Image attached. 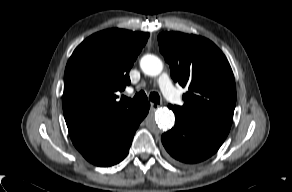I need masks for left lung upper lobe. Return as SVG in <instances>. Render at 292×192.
Here are the masks:
<instances>
[{
    "label": "left lung upper lobe",
    "instance_id": "5c2ea615",
    "mask_svg": "<svg viewBox=\"0 0 292 192\" xmlns=\"http://www.w3.org/2000/svg\"><path fill=\"white\" fill-rule=\"evenodd\" d=\"M158 43L174 81L188 87L183 106L169 105L176 118L230 130L236 86L222 51L206 38L180 32L161 33Z\"/></svg>",
    "mask_w": 292,
    "mask_h": 192
}]
</instances>
